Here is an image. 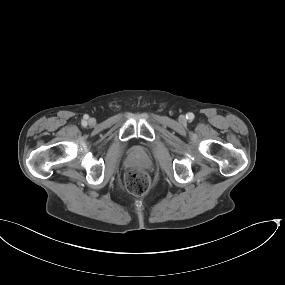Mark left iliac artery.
Here are the masks:
<instances>
[{
    "mask_svg": "<svg viewBox=\"0 0 285 285\" xmlns=\"http://www.w3.org/2000/svg\"><path fill=\"white\" fill-rule=\"evenodd\" d=\"M186 117L189 121H192L194 119V114L189 112Z\"/></svg>",
    "mask_w": 285,
    "mask_h": 285,
    "instance_id": "obj_1",
    "label": "left iliac artery"
}]
</instances>
